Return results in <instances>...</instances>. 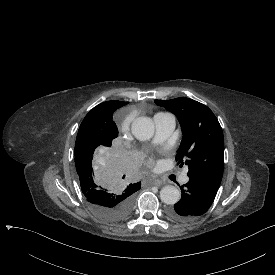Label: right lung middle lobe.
<instances>
[{"mask_svg": "<svg viewBox=\"0 0 275 275\" xmlns=\"http://www.w3.org/2000/svg\"><path fill=\"white\" fill-rule=\"evenodd\" d=\"M117 127L81 123L75 143V165L81 192L102 218L120 221L128 216L138 190L125 189L129 164L117 138Z\"/></svg>", "mask_w": 275, "mask_h": 275, "instance_id": "1", "label": "right lung middle lobe"}]
</instances>
